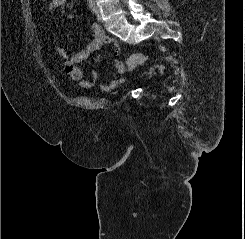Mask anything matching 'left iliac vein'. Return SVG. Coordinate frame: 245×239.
<instances>
[{"instance_id": "obj_1", "label": "left iliac vein", "mask_w": 245, "mask_h": 239, "mask_svg": "<svg viewBox=\"0 0 245 239\" xmlns=\"http://www.w3.org/2000/svg\"><path fill=\"white\" fill-rule=\"evenodd\" d=\"M95 15H96V18L99 22L102 21V18H101V12H100V9L97 5H95Z\"/></svg>"}]
</instances>
